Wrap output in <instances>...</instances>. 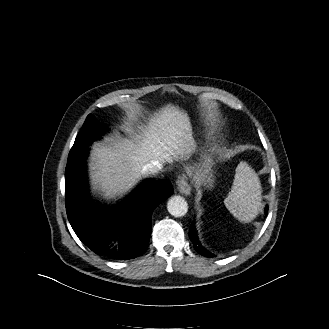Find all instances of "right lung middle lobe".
<instances>
[{
    "mask_svg": "<svg viewBox=\"0 0 329 329\" xmlns=\"http://www.w3.org/2000/svg\"><path fill=\"white\" fill-rule=\"evenodd\" d=\"M104 130L105 125L98 122L92 114H89L80 132L76 136L74 145L68 156V161L73 160L76 156L86 150L88 146L104 132Z\"/></svg>",
    "mask_w": 329,
    "mask_h": 329,
    "instance_id": "obj_1",
    "label": "right lung middle lobe"
}]
</instances>
